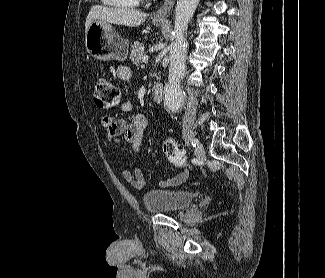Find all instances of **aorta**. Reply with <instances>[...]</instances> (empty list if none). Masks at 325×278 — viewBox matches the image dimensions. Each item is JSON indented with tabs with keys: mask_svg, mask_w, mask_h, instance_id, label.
Here are the masks:
<instances>
[{
	"mask_svg": "<svg viewBox=\"0 0 325 278\" xmlns=\"http://www.w3.org/2000/svg\"><path fill=\"white\" fill-rule=\"evenodd\" d=\"M199 0H178L175 7L174 41L170 47L168 83L164 88L165 106L169 110H178L183 102V78L186 65L187 28Z\"/></svg>",
	"mask_w": 325,
	"mask_h": 278,
	"instance_id": "1",
	"label": "aorta"
}]
</instances>
